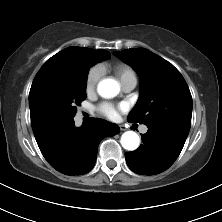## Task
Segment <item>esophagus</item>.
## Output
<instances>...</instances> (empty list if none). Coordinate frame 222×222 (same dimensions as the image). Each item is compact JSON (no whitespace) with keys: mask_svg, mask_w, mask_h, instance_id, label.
<instances>
[{"mask_svg":"<svg viewBox=\"0 0 222 222\" xmlns=\"http://www.w3.org/2000/svg\"><path fill=\"white\" fill-rule=\"evenodd\" d=\"M119 128L121 131H125L126 130V127L124 125H119Z\"/></svg>","mask_w":222,"mask_h":222,"instance_id":"1","label":"esophagus"}]
</instances>
